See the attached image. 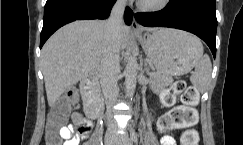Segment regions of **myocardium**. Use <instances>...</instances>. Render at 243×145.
<instances>
[{
	"label": "myocardium",
	"instance_id": "1",
	"mask_svg": "<svg viewBox=\"0 0 243 145\" xmlns=\"http://www.w3.org/2000/svg\"><path fill=\"white\" fill-rule=\"evenodd\" d=\"M170 4V0H158L155 3H145L141 0L138 1V7L146 12H160L166 9Z\"/></svg>",
	"mask_w": 243,
	"mask_h": 145
}]
</instances>
